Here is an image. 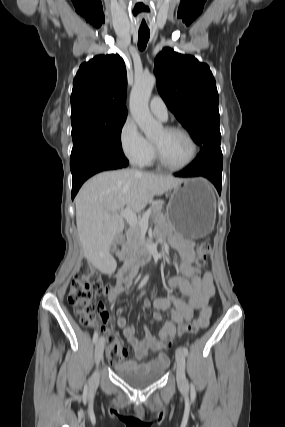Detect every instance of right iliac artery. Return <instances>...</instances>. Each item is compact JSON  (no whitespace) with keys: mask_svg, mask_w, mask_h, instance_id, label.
Segmentation results:
<instances>
[{"mask_svg":"<svg viewBox=\"0 0 285 427\" xmlns=\"http://www.w3.org/2000/svg\"><path fill=\"white\" fill-rule=\"evenodd\" d=\"M148 278H149V276H148V275H146V276L144 277V279H143V280L141 281V283L139 284V288H141L143 285H145V283L147 282ZM97 339H98V332H97V331H95V332H94V335H93V343H96V342H97Z\"/></svg>","mask_w":285,"mask_h":427,"instance_id":"obj_1","label":"right iliac artery"}]
</instances>
